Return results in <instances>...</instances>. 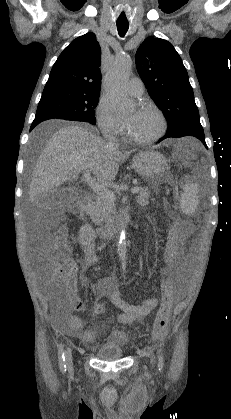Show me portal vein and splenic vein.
Returning <instances> with one entry per match:
<instances>
[{
  "label": "portal vein and splenic vein",
  "instance_id": "1",
  "mask_svg": "<svg viewBox=\"0 0 231 419\" xmlns=\"http://www.w3.org/2000/svg\"><path fill=\"white\" fill-rule=\"evenodd\" d=\"M83 180L85 182H87V184L90 186V188L100 197L105 198V199H110V200H114L115 199V194L110 191L108 188H106L105 186L99 184L98 182H96L94 179H92L91 177V172L89 170H86L84 172V176H83ZM140 188L139 187H134L131 192L132 194H137L140 192Z\"/></svg>",
  "mask_w": 231,
  "mask_h": 419
}]
</instances>
